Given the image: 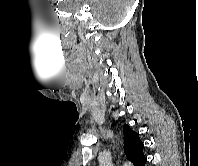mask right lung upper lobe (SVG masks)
<instances>
[{"label":"right lung upper lobe","instance_id":"obj_1","mask_svg":"<svg viewBox=\"0 0 198 166\" xmlns=\"http://www.w3.org/2000/svg\"><path fill=\"white\" fill-rule=\"evenodd\" d=\"M124 137V151L134 166H142L146 157L143 154L144 145L141 142L138 133L134 132L127 124L123 125Z\"/></svg>","mask_w":198,"mask_h":166}]
</instances>
